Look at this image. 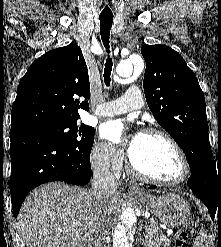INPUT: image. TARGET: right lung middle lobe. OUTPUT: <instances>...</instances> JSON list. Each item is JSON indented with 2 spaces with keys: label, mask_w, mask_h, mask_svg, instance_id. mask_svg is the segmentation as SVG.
<instances>
[{
  "label": "right lung middle lobe",
  "mask_w": 221,
  "mask_h": 247,
  "mask_svg": "<svg viewBox=\"0 0 221 247\" xmlns=\"http://www.w3.org/2000/svg\"><path fill=\"white\" fill-rule=\"evenodd\" d=\"M21 130L46 135L84 155H90L94 143V128L84 124L78 128L77 121L43 123L24 127Z\"/></svg>",
  "instance_id": "right-lung-middle-lobe-1"
}]
</instances>
